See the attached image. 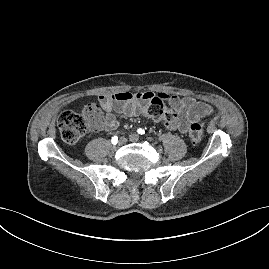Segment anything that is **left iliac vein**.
Masks as SVG:
<instances>
[{
	"mask_svg": "<svg viewBox=\"0 0 269 269\" xmlns=\"http://www.w3.org/2000/svg\"><path fill=\"white\" fill-rule=\"evenodd\" d=\"M139 135L138 134H136V133H132V134H130V136H129V139H130V141H132V142H137L138 140H139Z\"/></svg>",
	"mask_w": 269,
	"mask_h": 269,
	"instance_id": "obj_1",
	"label": "left iliac vein"
}]
</instances>
